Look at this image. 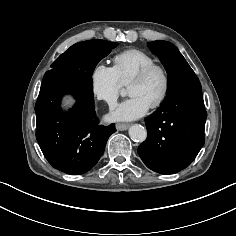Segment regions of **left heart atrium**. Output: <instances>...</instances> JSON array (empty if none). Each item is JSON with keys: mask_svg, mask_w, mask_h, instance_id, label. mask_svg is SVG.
Listing matches in <instances>:
<instances>
[{"mask_svg": "<svg viewBox=\"0 0 236 236\" xmlns=\"http://www.w3.org/2000/svg\"><path fill=\"white\" fill-rule=\"evenodd\" d=\"M151 105L139 96H131L119 104L110 114V119L128 121L135 120L147 113Z\"/></svg>", "mask_w": 236, "mask_h": 236, "instance_id": "1", "label": "left heart atrium"}]
</instances>
